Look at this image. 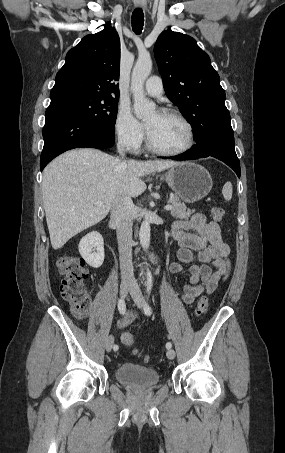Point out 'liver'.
<instances>
[{"label": "liver", "mask_w": 285, "mask_h": 453, "mask_svg": "<svg viewBox=\"0 0 285 453\" xmlns=\"http://www.w3.org/2000/svg\"><path fill=\"white\" fill-rule=\"evenodd\" d=\"M178 164L123 161L100 150L75 149L58 156L43 171L42 196L50 241L60 249L76 234L109 213L117 196L137 197L146 190L141 177Z\"/></svg>", "instance_id": "liver-1"}]
</instances>
